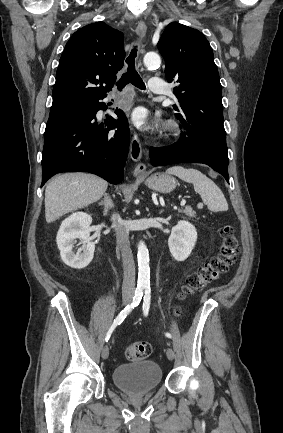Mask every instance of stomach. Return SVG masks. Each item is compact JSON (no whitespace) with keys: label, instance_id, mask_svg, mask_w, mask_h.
<instances>
[{"label":"stomach","instance_id":"1","mask_svg":"<svg viewBox=\"0 0 283 433\" xmlns=\"http://www.w3.org/2000/svg\"><path fill=\"white\" fill-rule=\"evenodd\" d=\"M145 184L152 190H158V192H171L176 186V180L165 172H155L146 178Z\"/></svg>","mask_w":283,"mask_h":433}]
</instances>
